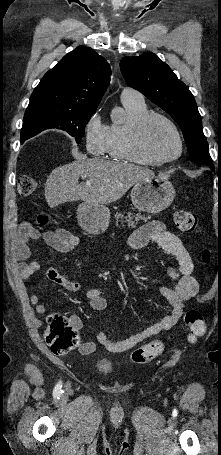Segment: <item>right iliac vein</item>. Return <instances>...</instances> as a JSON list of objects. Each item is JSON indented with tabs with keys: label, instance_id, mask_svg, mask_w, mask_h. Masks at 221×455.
<instances>
[{
	"label": "right iliac vein",
	"instance_id": "right-iliac-vein-1",
	"mask_svg": "<svg viewBox=\"0 0 221 455\" xmlns=\"http://www.w3.org/2000/svg\"><path fill=\"white\" fill-rule=\"evenodd\" d=\"M71 388H70V385H67L66 386V390L69 391Z\"/></svg>",
	"mask_w": 221,
	"mask_h": 455
}]
</instances>
